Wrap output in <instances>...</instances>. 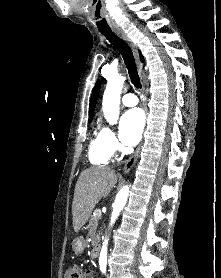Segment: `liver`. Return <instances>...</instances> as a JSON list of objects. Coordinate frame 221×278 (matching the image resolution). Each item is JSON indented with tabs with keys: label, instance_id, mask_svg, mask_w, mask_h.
Masks as SVG:
<instances>
[{
	"label": "liver",
	"instance_id": "1",
	"mask_svg": "<svg viewBox=\"0 0 221 278\" xmlns=\"http://www.w3.org/2000/svg\"><path fill=\"white\" fill-rule=\"evenodd\" d=\"M118 176L109 167H90L81 172L72 203L73 228L78 232L101 198L108 196Z\"/></svg>",
	"mask_w": 221,
	"mask_h": 278
}]
</instances>
